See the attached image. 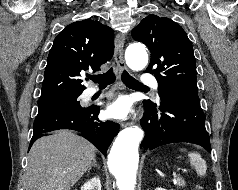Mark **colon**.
I'll return each instance as SVG.
<instances>
[{
    "mask_svg": "<svg viewBox=\"0 0 238 190\" xmlns=\"http://www.w3.org/2000/svg\"><path fill=\"white\" fill-rule=\"evenodd\" d=\"M194 190H203V188L202 187H200V186H197V187H195V189Z\"/></svg>",
    "mask_w": 238,
    "mask_h": 190,
    "instance_id": "5ec220e1",
    "label": "colon"
}]
</instances>
